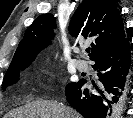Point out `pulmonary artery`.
I'll return each instance as SVG.
<instances>
[{
	"instance_id": "e3ab8cb5",
	"label": "pulmonary artery",
	"mask_w": 133,
	"mask_h": 118,
	"mask_svg": "<svg viewBox=\"0 0 133 118\" xmlns=\"http://www.w3.org/2000/svg\"><path fill=\"white\" fill-rule=\"evenodd\" d=\"M76 66L78 68V70L85 72L89 70V64L86 60H78L76 62Z\"/></svg>"
}]
</instances>
